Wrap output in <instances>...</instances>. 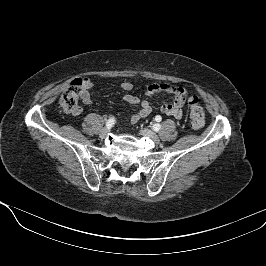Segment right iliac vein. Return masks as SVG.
<instances>
[{
  "label": "right iliac vein",
  "instance_id": "63e3f726",
  "mask_svg": "<svg viewBox=\"0 0 266 266\" xmlns=\"http://www.w3.org/2000/svg\"><path fill=\"white\" fill-rule=\"evenodd\" d=\"M109 132H110V129L109 128H107V127L103 128L100 131V137L101 138H105L108 135Z\"/></svg>",
  "mask_w": 266,
  "mask_h": 266
}]
</instances>
